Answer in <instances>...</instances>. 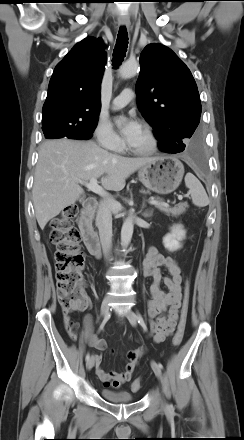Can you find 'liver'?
<instances>
[{"instance_id":"liver-1","label":"liver","mask_w":244,"mask_h":440,"mask_svg":"<svg viewBox=\"0 0 244 440\" xmlns=\"http://www.w3.org/2000/svg\"><path fill=\"white\" fill-rule=\"evenodd\" d=\"M155 157L127 158L109 153L93 141L58 139L46 141L39 150L32 199L41 229L65 207L84 194L77 180L88 181L103 174L107 190L121 191L126 179Z\"/></svg>"}]
</instances>
